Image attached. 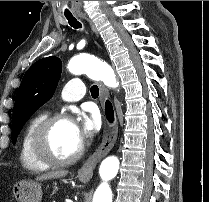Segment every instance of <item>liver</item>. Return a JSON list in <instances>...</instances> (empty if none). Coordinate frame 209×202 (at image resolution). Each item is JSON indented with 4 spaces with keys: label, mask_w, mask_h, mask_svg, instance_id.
Instances as JSON below:
<instances>
[{
    "label": "liver",
    "mask_w": 209,
    "mask_h": 202,
    "mask_svg": "<svg viewBox=\"0 0 209 202\" xmlns=\"http://www.w3.org/2000/svg\"><path fill=\"white\" fill-rule=\"evenodd\" d=\"M67 173H68V171H65V170L49 172V173L43 174L41 176H38L36 178V180L37 181H41V180H48V179H56V178H60V177L66 176Z\"/></svg>",
    "instance_id": "6515ba94"
}]
</instances>
